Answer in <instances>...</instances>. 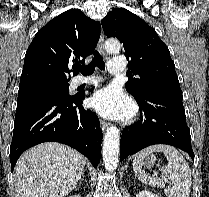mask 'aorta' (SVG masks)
Returning a JSON list of instances; mask_svg holds the SVG:
<instances>
[{
    "mask_svg": "<svg viewBox=\"0 0 209 197\" xmlns=\"http://www.w3.org/2000/svg\"><path fill=\"white\" fill-rule=\"evenodd\" d=\"M120 42L116 39H109L105 42V50L108 53H117L120 51ZM120 133L116 126L107 128L104 135L102 156L104 167L108 171L116 170L119 162L120 152Z\"/></svg>",
    "mask_w": 209,
    "mask_h": 197,
    "instance_id": "1",
    "label": "aorta"
}]
</instances>
